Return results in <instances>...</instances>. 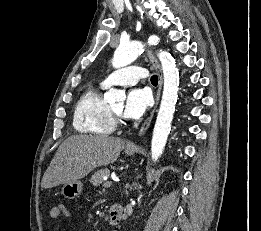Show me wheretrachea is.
Returning <instances> with one entry per match:
<instances>
[{
  "label": "trachea",
  "mask_w": 261,
  "mask_h": 231,
  "mask_svg": "<svg viewBox=\"0 0 261 231\" xmlns=\"http://www.w3.org/2000/svg\"><path fill=\"white\" fill-rule=\"evenodd\" d=\"M151 83L154 84V85L158 84V77H157V75H153L151 77Z\"/></svg>",
  "instance_id": "obj_1"
}]
</instances>
